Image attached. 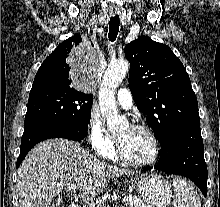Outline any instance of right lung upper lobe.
<instances>
[{
	"mask_svg": "<svg viewBox=\"0 0 220 207\" xmlns=\"http://www.w3.org/2000/svg\"><path fill=\"white\" fill-rule=\"evenodd\" d=\"M82 41L79 34L65 40L43 61L32 87L58 86L72 87L70 78V66L67 62L69 53L74 46Z\"/></svg>",
	"mask_w": 220,
	"mask_h": 207,
	"instance_id": "right-lung-upper-lobe-1",
	"label": "right lung upper lobe"
}]
</instances>
